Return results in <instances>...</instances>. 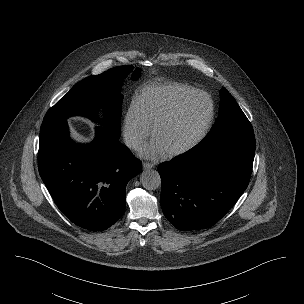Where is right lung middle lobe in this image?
Returning a JSON list of instances; mask_svg holds the SVG:
<instances>
[{
    "instance_id": "dd1d6c3e",
    "label": "right lung middle lobe",
    "mask_w": 304,
    "mask_h": 304,
    "mask_svg": "<svg viewBox=\"0 0 304 304\" xmlns=\"http://www.w3.org/2000/svg\"><path fill=\"white\" fill-rule=\"evenodd\" d=\"M132 66H118L102 74L90 76L75 84L72 89L62 97L46 113L42 126L48 123L60 122L70 116L80 115L96 118V108L101 105L108 94L121 87L123 78L132 71ZM140 76V70L133 72L132 79ZM123 95L115 93L108 103L104 127L114 136L120 137L121 106Z\"/></svg>"
}]
</instances>
